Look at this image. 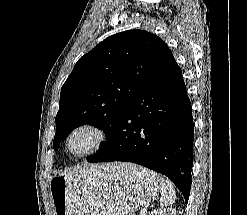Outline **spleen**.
<instances>
[{"label": "spleen", "instance_id": "obj_1", "mask_svg": "<svg viewBox=\"0 0 247 215\" xmlns=\"http://www.w3.org/2000/svg\"><path fill=\"white\" fill-rule=\"evenodd\" d=\"M160 193V203L162 206H168L175 202L176 192L173 184L167 178H161Z\"/></svg>", "mask_w": 247, "mask_h": 215}]
</instances>
